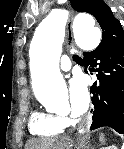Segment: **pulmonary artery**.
<instances>
[{"label":"pulmonary artery","mask_w":124,"mask_h":149,"mask_svg":"<svg viewBox=\"0 0 124 149\" xmlns=\"http://www.w3.org/2000/svg\"><path fill=\"white\" fill-rule=\"evenodd\" d=\"M70 53L79 54L80 52L77 51V50L72 49V50L70 51ZM60 67H61V69H62L63 71H68V70L70 69V67H71V57H70V55H64V56L62 57L61 66H60Z\"/></svg>","instance_id":"e3ab8cb5"}]
</instances>
